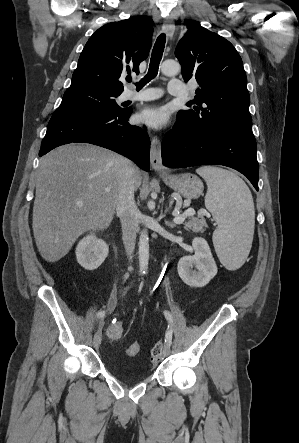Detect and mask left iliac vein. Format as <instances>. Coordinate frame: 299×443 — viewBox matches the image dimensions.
Masks as SVG:
<instances>
[{"instance_id": "obj_1", "label": "left iliac vein", "mask_w": 299, "mask_h": 443, "mask_svg": "<svg viewBox=\"0 0 299 443\" xmlns=\"http://www.w3.org/2000/svg\"><path fill=\"white\" fill-rule=\"evenodd\" d=\"M163 353L165 356H168L171 353V348L169 343H165Z\"/></svg>"}]
</instances>
